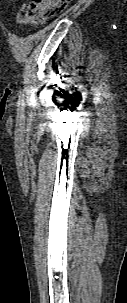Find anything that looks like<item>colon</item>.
Instances as JSON below:
<instances>
[{
	"label": "colon",
	"instance_id": "obj_1",
	"mask_svg": "<svg viewBox=\"0 0 127 303\" xmlns=\"http://www.w3.org/2000/svg\"><path fill=\"white\" fill-rule=\"evenodd\" d=\"M69 0H30L20 12L25 22H39L50 14L60 12L67 6Z\"/></svg>",
	"mask_w": 127,
	"mask_h": 303
}]
</instances>
